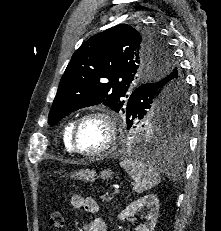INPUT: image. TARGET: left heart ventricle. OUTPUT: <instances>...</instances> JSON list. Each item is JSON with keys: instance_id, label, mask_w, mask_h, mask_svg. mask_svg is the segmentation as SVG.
I'll return each mask as SVG.
<instances>
[{"instance_id": "1", "label": "left heart ventricle", "mask_w": 221, "mask_h": 231, "mask_svg": "<svg viewBox=\"0 0 221 231\" xmlns=\"http://www.w3.org/2000/svg\"><path fill=\"white\" fill-rule=\"evenodd\" d=\"M109 130L100 118L85 120L77 132V145L83 151H95L103 147L108 140Z\"/></svg>"}]
</instances>
